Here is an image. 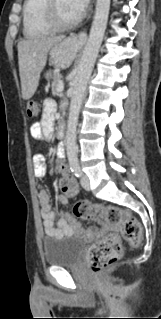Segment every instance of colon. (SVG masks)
Masks as SVG:
<instances>
[{
	"instance_id": "5ec220e1",
	"label": "colon",
	"mask_w": 161,
	"mask_h": 319,
	"mask_svg": "<svg viewBox=\"0 0 161 319\" xmlns=\"http://www.w3.org/2000/svg\"><path fill=\"white\" fill-rule=\"evenodd\" d=\"M40 105L36 102L29 103L27 115L29 118L40 116ZM62 188L66 191L74 187L69 178H62ZM73 214L76 217L88 220H105L106 222L118 225L121 229V236L110 234L107 237L95 242L86 253V262L94 275H100L106 269L116 264L122 257V239L130 244L136 245L141 241V228L137 219L126 216L118 206H105L90 202H77L73 207Z\"/></svg>"
}]
</instances>
